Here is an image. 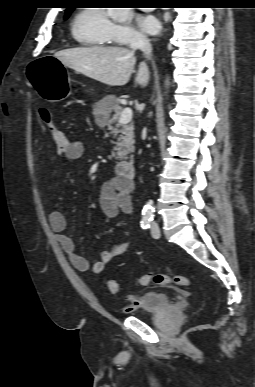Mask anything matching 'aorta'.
<instances>
[{"label": "aorta", "mask_w": 255, "mask_h": 387, "mask_svg": "<svg viewBox=\"0 0 255 387\" xmlns=\"http://www.w3.org/2000/svg\"><path fill=\"white\" fill-rule=\"evenodd\" d=\"M108 15L116 22L124 23L132 16V8H108ZM169 81L166 80V86H168ZM154 211L153 201H147L143 209V215L145 217L152 216Z\"/></svg>", "instance_id": "1"}]
</instances>
